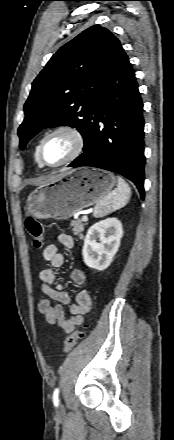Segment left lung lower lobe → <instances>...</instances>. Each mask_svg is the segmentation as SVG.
Returning a JSON list of instances; mask_svg holds the SVG:
<instances>
[{
  "label": "left lung lower lobe",
  "instance_id": "0a47b994",
  "mask_svg": "<svg viewBox=\"0 0 174 440\" xmlns=\"http://www.w3.org/2000/svg\"><path fill=\"white\" fill-rule=\"evenodd\" d=\"M90 114L83 153L69 166L118 173L131 180L144 198L143 103L125 52L111 70Z\"/></svg>",
  "mask_w": 174,
  "mask_h": 440
}]
</instances>
